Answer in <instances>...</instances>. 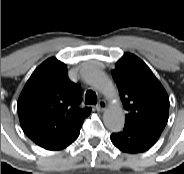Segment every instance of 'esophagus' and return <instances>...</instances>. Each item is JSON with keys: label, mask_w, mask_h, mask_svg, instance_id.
Listing matches in <instances>:
<instances>
[{"label": "esophagus", "mask_w": 184, "mask_h": 174, "mask_svg": "<svg viewBox=\"0 0 184 174\" xmlns=\"http://www.w3.org/2000/svg\"><path fill=\"white\" fill-rule=\"evenodd\" d=\"M106 107H107V104H106V102L104 100H99V102H98V104L96 106L98 111H103V110L106 109Z\"/></svg>", "instance_id": "obj_1"}]
</instances>
